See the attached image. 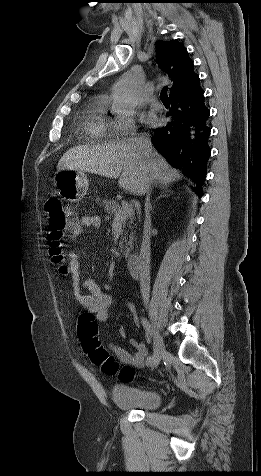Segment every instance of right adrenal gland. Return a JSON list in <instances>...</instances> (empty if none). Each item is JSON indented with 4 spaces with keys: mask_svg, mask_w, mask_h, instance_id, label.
Instances as JSON below:
<instances>
[{
    "mask_svg": "<svg viewBox=\"0 0 261 476\" xmlns=\"http://www.w3.org/2000/svg\"><path fill=\"white\" fill-rule=\"evenodd\" d=\"M161 190H162V193L157 199L167 196L168 193L170 192V190L168 189V186L161 187ZM146 203L149 204V208H150V210H152V205L150 203V193H148V195L146 197Z\"/></svg>",
    "mask_w": 261,
    "mask_h": 476,
    "instance_id": "right-adrenal-gland-1",
    "label": "right adrenal gland"
}]
</instances>
